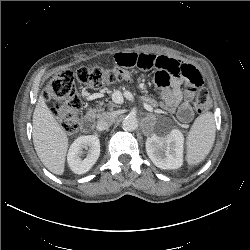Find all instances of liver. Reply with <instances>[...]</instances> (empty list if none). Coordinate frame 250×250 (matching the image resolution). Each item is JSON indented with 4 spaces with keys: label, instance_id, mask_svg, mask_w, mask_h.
<instances>
[{
    "label": "liver",
    "instance_id": "6515ba94",
    "mask_svg": "<svg viewBox=\"0 0 250 250\" xmlns=\"http://www.w3.org/2000/svg\"><path fill=\"white\" fill-rule=\"evenodd\" d=\"M32 121V138L39 159L50 172L62 175L68 149V137L46 105L42 94L36 104Z\"/></svg>",
    "mask_w": 250,
    "mask_h": 250
}]
</instances>
